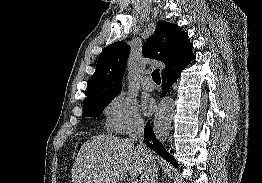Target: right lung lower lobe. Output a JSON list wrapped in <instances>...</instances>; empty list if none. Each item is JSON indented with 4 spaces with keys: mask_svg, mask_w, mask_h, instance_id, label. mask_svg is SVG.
Returning a JSON list of instances; mask_svg holds the SVG:
<instances>
[{
    "mask_svg": "<svg viewBox=\"0 0 262 183\" xmlns=\"http://www.w3.org/2000/svg\"><path fill=\"white\" fill-rule=\"evenodd\" d=\"M181 71L172 73L169 75H165L162 77V96H165L168 89L175 83V81L178 79ZM145 136H144V142L145 144L154 150L157 154H159L162 158L169 161L173 165L177 166L176 161L173 159V157L165 150L163 145L156 139L153 128L149 125V122L145 126Z\"/></svg>",
    "mask_w": 262,
    "mask_h": 183,
    "instance_id": "obj_1",
    "label": "right lung lower lobe"
}]
</instances>
